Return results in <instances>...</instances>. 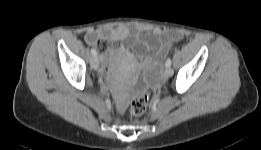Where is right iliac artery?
Masks as SVG:
<instances>
[{
    "label": "right iliac artery",
    "instance_id": "right-iliac-artery-1",
    "mask_svg": "<svg viewBox=\"0 0 261 150\" xmlns=\"http://www.w3.org/2000/svg\"><path fill=\"white\" fill-rule=\"evenodd\" d=\"M91 53H92L93 56H96V55H97V52H96L95 49H91Z\"/></svg>",
    "mask_w": 261,
    "mask_h": 150
}]
</instances>
